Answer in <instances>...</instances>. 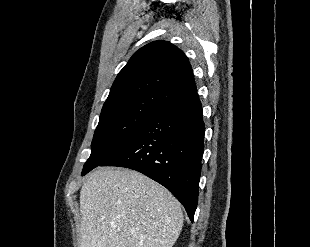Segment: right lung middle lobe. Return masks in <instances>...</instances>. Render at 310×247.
<instances>
[{
	"label": "right lung middle lobe",
	"instance_id": "dd1d6c3e",
	"mask_svg": "<svg viewBox=\"0 0 310 247\" xmlns=\"http://www.w3.org/2000/svg\"><path fill=\"white\" fill-rule=\"evenodd\" d=\"M159 111L149 106H134L100 115L91 144V155L84 164L82 175L112 156Z\"/></svg>",
	"mask_w": 310,
	"mask_h": 247
}]
</instances>
